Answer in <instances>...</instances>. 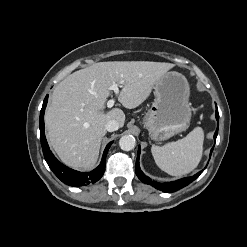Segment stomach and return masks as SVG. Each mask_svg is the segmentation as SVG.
I'll list each match as a JSON object with an SVG mask.
<instances>
[{"instance_id":"0dacf381","label":"stomach","mask_w":247,"mask_h":247,"mask_svg":"<svg viewBox=\"0 0 247 247\" xmlns=\"http://www.w3.org/2000/svg\"><path fill=\"white\" fill-rule=\"evenodd\" d=\"M189 84L176 71L166 72L154 85V103L144 117L152 140L163 141L186 130L191 120Z\"/></svg>"}]
</instances>
